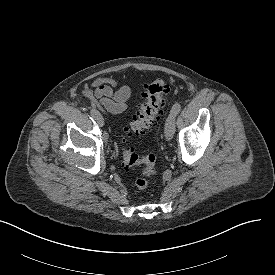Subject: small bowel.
<instances>
[{
  "label": "small bowel",
  "instance_id": "c3829d8e",
  "mask_svg": "<svg viewBox=\"0 0 275 275\" xmlns=\"http://www.w3.org/2000/svg\"><path fill=\"white\" fill-rule=\"evenodd\" d=\"M117 84L118 81L114 77H99L92 82L89 88L85 89L84 95L91 100L94 107L102 112L119 114L128 109L131 91L127 86L114 91L113 88Z\"/></svg>",
  "mask_w": 275,
  "mask_h": 275
}]
</instances>
